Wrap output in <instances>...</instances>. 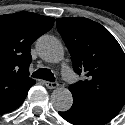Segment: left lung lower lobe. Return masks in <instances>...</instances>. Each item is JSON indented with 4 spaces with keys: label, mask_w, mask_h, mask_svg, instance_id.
I'll return each instance as SVG.
<instances>
[{
    "label": "left lung lower lobe",
    "mask_w": 125,
    "mask_h": 125,
    "mask_svg": "<svg viewBox=\"0 0 125 125\" xmlns=\"http://www.w3.org/2000/svg\"><path fill=\"white\" fill-rule=\"evenodd\" d=\"M123 106L113 102L79 103L59 115L73 125H104L113 119Z\"/></svg>",
    "instance_id": "0a47b994"
}]
</instances>
